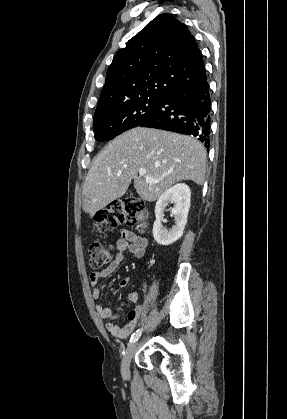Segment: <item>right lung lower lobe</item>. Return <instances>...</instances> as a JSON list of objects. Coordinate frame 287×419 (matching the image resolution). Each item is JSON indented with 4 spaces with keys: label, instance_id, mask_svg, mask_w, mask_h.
Here are the masks:
<instances>
[{
    "label": "right lung lower lobe",
    "instance_id": "right-lung-lower-lobe-1",
    "mask_svg": "<svg viewBox=\"0 0 287 419\" xmlns=\"http://www.w3.org/2000/svg\"><path fill=\"white\" fill-rule=\"evenodd\" d=\"M139 126L192 135L209 151L211 99L207 76L171 91Z\"/></svg>",
    "mask_w": 287,
    "mask_h": 419
}]
</instances>
